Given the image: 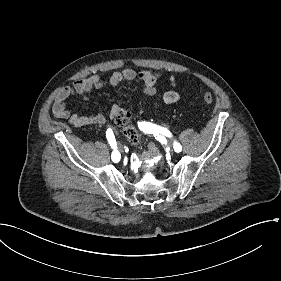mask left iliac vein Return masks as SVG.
<instances>
[{
	"mask_svg": "<svg viewBox=\"0 0 281 281\" xmlns=\"http://www.w3.org/2000/svg\"><path fill=\"white\" fill-rule=\"evenodd\" d=\"M168 147H169L170 150H172V144L171 143L168 144Z\"/></svg>",
	"mask_w": 281,
	"mask_h": 281,
	"instance_id": "obj_1",
	"label": "left iliac vein"
}]
</instances>
